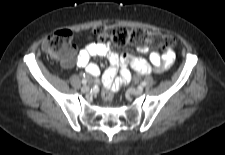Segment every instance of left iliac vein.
Listing matches in <instances>:
<instances>
[{"instance_id": "left-iliac-vein-1", "label": "left iliac vein", "mask_w": 225, "mask_h": 155, "mask_svg": "<svg viewBox=\"0 0 225 155\" xmlns=\"http://www.w3.org/2000/svg\"><path fill=\"white\" fill-rule=\"evenodd\" d=\"M129 92L135 96H139L143 93V91L141 89H137V88H130Z\"/></svg>"}]
</instances>
